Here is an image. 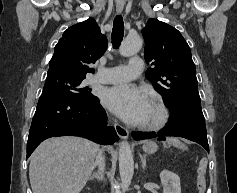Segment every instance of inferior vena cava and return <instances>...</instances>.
I'll use <instances>...</instances> for the list:
<instances>
[{
  "label": "inferior vena cava",
  "mask_w": 237,
  "mask_h": 193,
  "mask_svg": "<svg viewBox=\"0 0 237 193\" xmlns=\"http://www.w3.org/2000/svg\"><path fill=\"white\" fill-rule=\"evenodd\" d=\"M96 165L99 166V170L103 172L104 170V158L101 153L98 151V155L96 156Z\"/></svg>",
  "instance_id": "obj_1"
}]
</instances>
